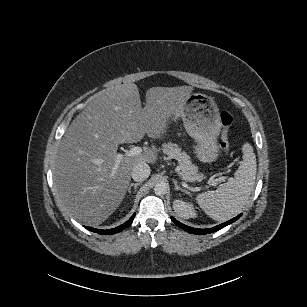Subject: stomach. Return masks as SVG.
<instances>
[{"instance_id": "0dacf381", "label": "stomach", "mask_w": 307, "mask_h": 307, "mask_svg": "<svg viewBox=\"0 0 307 307\" xmlns=\"http://www.w3.org/2000/svg\"><path fill=\"white\" fill-rule=\"evenodd\" d=\"M183 121L187 133L198 141L195 150L203 161H212L218 154L216 139L221 123L215 101L203 93H191L180 112L173 113L170 123Z\"/></svg>"}]
</instances>
